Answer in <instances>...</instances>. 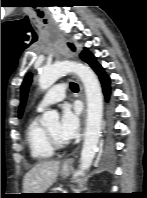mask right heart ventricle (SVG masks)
<instances>
[{
	"label": "right heart ventricle",
	"mask_w": 147,
	"mask_h": 198,
	"mask_svg": "<svg viewBox=\"0 0 147 198\" xmlns=\"http://www.w3.org/2000/svg\"><path fill=\"white\" fill-rule=\"evenodd\" d=\"M25 139L30 156L35 161L42 162L54 155V150L46 138L45 128L40 124L37 115L29 119L25 130Z\"/></svg>",
	"instance_id": "1"
}]
</instances>
